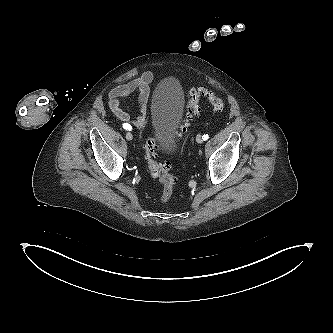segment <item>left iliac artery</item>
Listing matches in <instances>:
<instances>
[{
    "label": "left iliac artery",
    "mask_w": 333,
    "mask_h": 333,
    "mask_svg": "<svg viewBox=\"0 0 333 333\" xmlns=\"http://www.w3.org/2000/svg\"><path fill=\"white\" fill-rule=\"evenodd\" d=\"M208 138H209L208 134H204V135L202 136V139H203L204 141L208 140Z\"/></svg>",
    "instance_id": "left-iliac-artery-1"
}]
</instances>
